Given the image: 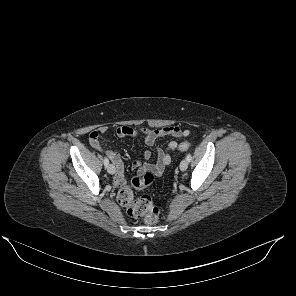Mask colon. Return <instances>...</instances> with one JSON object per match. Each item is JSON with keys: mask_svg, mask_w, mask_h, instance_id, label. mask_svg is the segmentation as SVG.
<instances>
[{"mask_svg": "<svg viewBox=\"0 0 296 296\" xmlns=\"http://www.w3.org/2000/svg\"><path fill=\"white\" fill-rule=\"evenodd\" d=\"M190 148L191 143L188 141L181 142L178 145V150L181 152L188 151ZM154 179L155 174L153 172L139 173L132 180V185L137 189H143L150 186L154 182ZM118 200L127 208V212L131 217L143 218L150 225L158 221L159 211L154 206L150 197L142 196L134 200L132 189L129 186H125L119 191Z\"/></svg>", "mask_w": 296, "mask_h": 296, "instance_id": "5ec220e1", "label": "colon"}]
</instances>
